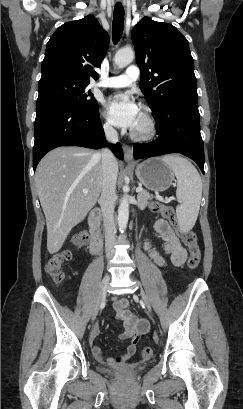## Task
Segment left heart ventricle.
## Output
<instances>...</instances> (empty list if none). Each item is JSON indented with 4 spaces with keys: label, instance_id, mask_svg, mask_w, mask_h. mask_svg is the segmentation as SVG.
Wrapping results in <instances>:
<instances>
[{
    "label": "left heart ventricle",
    "instance_id": "obj_1",
    "mask_svg": "<svg viewBox=\"0 0 243 409\" xmlns=\"http://www.w3.org/2000/svg\"><path fill=\"white\" fill-rule=\"evenodd\" d=\"M132 130L136 132H143L146 130L145 118H144V114L141 109H139L138 111L137 119H136L135 125L133 126Z\"/></svg>",
    "mask_w": 243,
    "mask_h": 409
}]
</instances>
